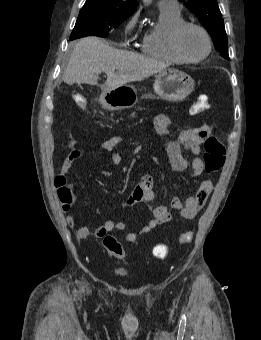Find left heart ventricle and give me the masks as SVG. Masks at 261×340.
Masks as SVG:
<instances>
[{"instance_id":"left-heart-ventricle-1","label":"left heart ventricle","mask_w":261,"mask_h":340,"mask_svg":"<svg viewBox=\"0 0 261 340\" xmlns=\"http://www.w3.org/2000/svg\"><path fill=\"white\" fill-rule=\"evenodd\" d=\"M180 49L188 58L196 59L206 52L207 42L200 30L189 27L180 37Z\"/></svg>"}]
</instances>
